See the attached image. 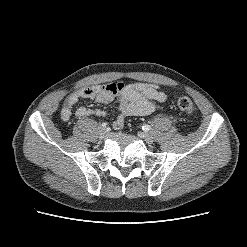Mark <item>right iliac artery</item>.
<instances>
[{
	"label": "right iliac artery",
	"mask_w": 247,
	"mask_h": 247,
	"mask_svg": "<svg viewBox=\"0 0 247 247\" xmlns=\"http://www.w3.org/2000/svg\"><path fill=\"white\" fill-rule=\"evenodd\" d=\"M106 125H107V124H106L105 122H104V123H102V127H106Z\"/></svg>",
	"instance_id": "obj_1"
}]
</instances>
